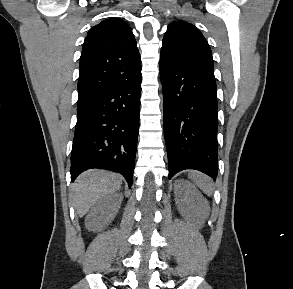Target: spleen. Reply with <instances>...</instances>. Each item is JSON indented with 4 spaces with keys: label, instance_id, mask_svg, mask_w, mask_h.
<instances>
[{
    "label": "spleen",
    "instance_id": "1",
    "mask_svg": "<svg viewBox=\"0 0 293 289\" xmlns=\"http://www.w3.org/2000/svg\"><path fill=\"white\" fill-rule=\"evenodd\" d=\"M189 179L206 195L211 196L213 194V183L206 175L200 172L192 171L189 173Z\"/></svg>",
    "mask_w": 293,
    "mask_h": 289
}]
</instances>
